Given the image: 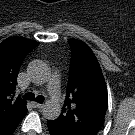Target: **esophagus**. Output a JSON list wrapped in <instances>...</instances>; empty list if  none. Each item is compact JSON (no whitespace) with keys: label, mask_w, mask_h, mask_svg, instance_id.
<instances>
[{"label":"esophagus","mask_w":135,"mask_h":135,"mask_svg":"<svg viewBox=\"0 0 135 135\" xmlns=\"http://www.w3.org/2000/svg\"><path fill=\"white\" fill-rule=\"evenodd\" d=\"M32 105L34 108H42L43 104L37 103V102H32Z\"/></svg>","instance_id":"obj_1"}]
</instances>
